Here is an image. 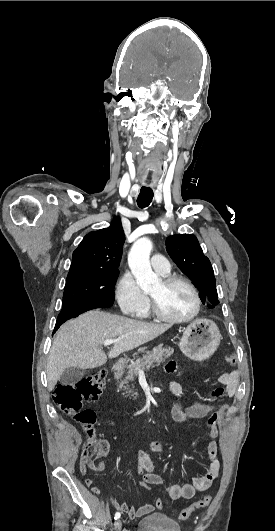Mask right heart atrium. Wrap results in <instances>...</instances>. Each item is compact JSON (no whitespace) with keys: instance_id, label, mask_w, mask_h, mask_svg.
Wrapping results in <instances>:
<instances>
[{"instance_id":"obj_1","label":"right heart atrium","mask_w":275,"mask_h":531,"mask_svg":"<svg viewBox=\"0 0 275 531\" xmlns=\"http://www.w3.org/2000/svg\"><path fill=\"white\" fill-rule=\"evenodd\" d=\"M116 296L122 312L130 317H142L147 314L150 300L139 286L133 275L125 272L119 279Z\"/></svg>"}]
</instances>
